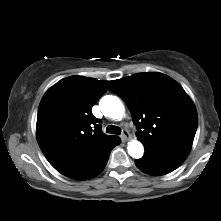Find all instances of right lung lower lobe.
Listing matches in <instances>:
<instances>
[{
	"mask_svg": "<svg viewBox=\"0 0 221 221\" xmlns=\"http://www.w3.org/2000/svg\"><path fill=\"white\" fill-rule=\"evenodd\" d=\"M120 142L121 140L118 137L89 160L81 164L62 169L59 172L76 180H88L94 178L105 168L111 150Z\"/></svg>",
	"mask_w": 221,
	"mask_h": 221,
	"instance_id": "right-lung-lower-lobe-1",
	"label": "right lung lower lobe"
}]
</instances>
